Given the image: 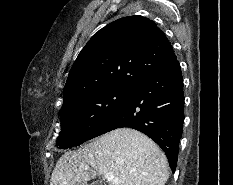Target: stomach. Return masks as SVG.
<instances>
[{"mask_svg":"<svg viewBox=\"0 0 233 185\" xmlns=\"http://www.w3.org/2000/svg\"><path fill=\"white\" fill-rule=\"evenodd\" d=\"M76 185H82V184H80V183H77Z\"/></svg>","mask_w":233,"mask_h":185,"instance_id":"obj_1","label":"stomach"}]
</instances>
